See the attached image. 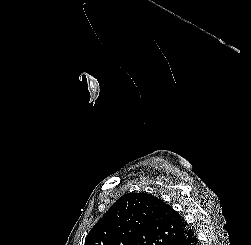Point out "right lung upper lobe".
I'll list each match as a JSON object with an SVG mask.
<instances>
[{
  "instance_id": "obj_1",
  "label": "right lung upper lobe",
  "mask_w": 251,
  "mask_h": 245,
  "mask_svg": "<svg viewBox=\"0 0 251 245\" xmlns=\"http://www.w3.org/2000/svg\"><path fill=\"white\" fill-rule=\"evenodd\" d=\"M187 230L179 213L161 199L127 193L95 224L85 245H168Z\"/></svg>"
}]
</instances>
